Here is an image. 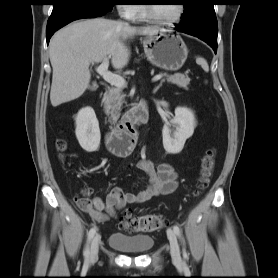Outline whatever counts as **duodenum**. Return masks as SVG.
<instances>
[{
  "label": "duodenum",
  "instance_id": "obj_1",
  "mask_svg": "<svg viewBox=\"0 0 278 278\" xmlns=\"http://www.w3.org/2000/svg\"><path fill=\"white\" fill-rule=\"evenodd\" d=\"M149 119L145 101L139 102L128 110L118 125L106 136L107 148L116 155H127L137 139L138 127Z\"/></svg>",
  "mask_w": 278,
  "mask_h": 278
}]
</instances>
